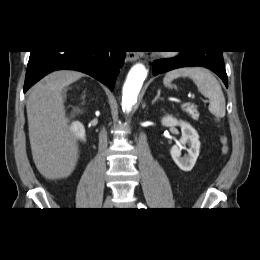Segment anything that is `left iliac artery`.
I'll return each instance as SVG.
<instances>
[{"label":"left iliac artery","instance_id":"44dca946","mask_svg":"<svg viewBox=\"0 0 260 260\" xmlns=\"http://www.w3.org/2000/svg\"><path fill=\"white\" fill-rule=\"evenodd\" d=\"M138 208H142L143 209V208H146V207L143 204L140 203V204H138Z\"/></svg>","mask_w":260,"mask_h":260}]
</instances>
